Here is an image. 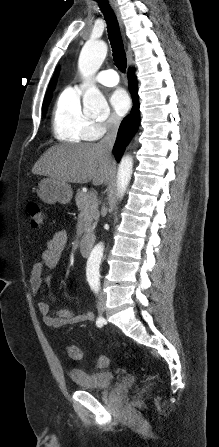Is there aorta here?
Here are the masks:
<instances>
[{"label": "aorta", "instance_id": "obj_1", "mask_svg": "<svg viewBox=\"0 0 219 447\" xmlns=\"http://www.w3.org/2000/svg\"><path fill=\"white\" fill-rule=\"evenodd\" d=\"M107 55V45L103 41H87L83 46L78 60V68L80 73L87 77L95 74L102 65ZM84 110L99 115L108 111V103L102 93L95 87H90L85 91L83 96ZM133 169V159L131 156H123L118 167L117 188L118 195L122 197L127 189L131 179ZM104 246L102 243L97 244L89 257V262H99L103 255ZM97 273L92 272L88 279L94 281Z\"/></svg>", "mask_w": 219, "mask_h": 447}]
</instances>
